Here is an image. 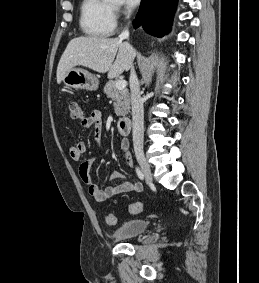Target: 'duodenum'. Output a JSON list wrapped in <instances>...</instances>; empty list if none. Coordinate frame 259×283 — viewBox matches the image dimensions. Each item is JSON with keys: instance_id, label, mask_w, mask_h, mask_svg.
<instances>
[{"instance_id": "1", "label": "duodenum", "mask_w": 259, "mask_h": 283, "mask_svg": "<svg viewBox=\"0 0 259 283\" xmlns=\"http://www.w3.org/2000/svg\"><path fill=\"white\" fill-rule=\"evenodd\" d=\"M118 132L121 135H127L131 128V119L129 117H123L117 124Z\"/></svg>"}]
</instances>
